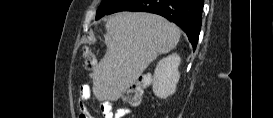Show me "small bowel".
Segmentation results:
<instances>
[{
	"mask_svg": "<svg viewBox=\"0 0 273 118\" xmlns=\"http://www.w3.org/2000/svg\"><path fill=\"white\" fill-rule=\"evenodd\" d=\"M90 97V87L88 85H83L79 91V114L80 118H89V113L86 107V101ZM102 112L105 118H123L130 112L127 108H118L113 112L111 103L106 101L101 106Z\"/></svg>",
	"mask_w": 273,
	"mask_h": 118,
	"instance_id": "small-bowel-1",
	"label": "small bowel"
}]
</instances>
